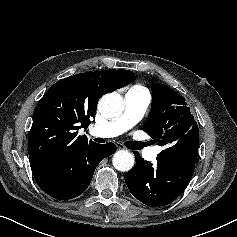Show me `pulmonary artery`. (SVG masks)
<instances>
[{
  "mask_svg": "<svg viewBox=\"0 0 237 237\" xmlns=\"http://www.w3.org/2000/svg\"><path fill=\"white\" fill-rule=\"evenodd\" d=\"M151 98L146 92H139L130 89L124 98V111L114 120L104 124L92 126L90 133L96 137L110 138L123 134L134 125H136L144 116ZM160 147L145 149L142 154L146 159L153 160L156 158Z\"/></svg>",
  "mask_w": 237,
  "mask_h": 237,
  "instance_id": "obj_1",
  "label": "pulmonary artery"
}]
</instances>
